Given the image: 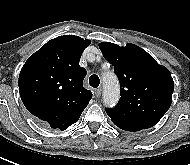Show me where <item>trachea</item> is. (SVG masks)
<instances>
[{
	"mask_svg": "<svg viewBox=\"0 0 190 165\" xmlns=\"http://www.w3.org/2000/svg\"><path fill=\"white\" fill-rule=\"evenodd\" d=\"M89 84L93 88H97L100 84V79L97 75H91L89 78Z\"/></svg>",
	"mask_w": 190,
	"mask_h": 165,
	"instance_id": "trachea-1",
	"label": "trachea"
}]
</instances>
